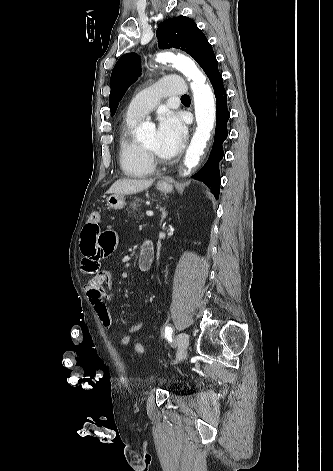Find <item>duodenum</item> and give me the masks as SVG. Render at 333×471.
Returning <instances> with one entry per match:
<instances>
[{
    "instance_id": "duodenum-1",
    "label": "duodenum",
    "mask_w": 333,
    "mask_h": 471,
    "mask_svg": "<svg viewBox=\"0 0 333 471\" xmlns=\"http://www.w3.org/2000/svg\"><path fill=\"white\" fill-rule=\"evenodd\" d=\"M154 260V247L150 241H145L141 247V251L137 260V267L141 271L148 270Z\"/></svg>"
}]
</instances>
